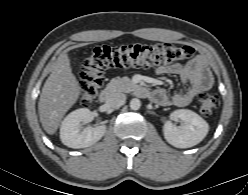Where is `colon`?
Wrapping results in <instances>:
<instances>
[{
	"label": "colon",
	"instance_id": "1",
	"mask_svg": "<svg viewBox=\"0 0 248 195\" xmlns=\"http://www.w3.org/2000/svg\"><path fill=\"white\" fill-rule=\"evenodd\" d=\"M193 54L191 46L168 42L95 47L83 62L79 102L84 107L93 103L104 84V71L107 69L163 66L189 59ZM218 105L219 98L214 94L202 93L199 96V109L204 117H210Z\"/></svg>",
	"mask_w": 248,
	"mask_h": 195
}]
</instances>
